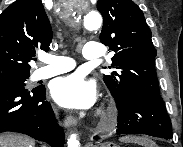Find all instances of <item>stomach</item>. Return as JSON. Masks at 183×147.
<instances>
[{
	"mask_svg": "<svg viewBox=\"0 0 183 147\" xmlns=\"http://www.w3.org/2000/svg\"><path fill=\"white\" fill-rule=\"evenodd\" d=\"M100 147H118V146L114 143L107 142V143L100 144Z\"/></svg>",
	"mask_w": 183,
	"mask_h": 147,
	"instance_id": "stomach-1",
	"label": "stomach"
}]
</instances>
